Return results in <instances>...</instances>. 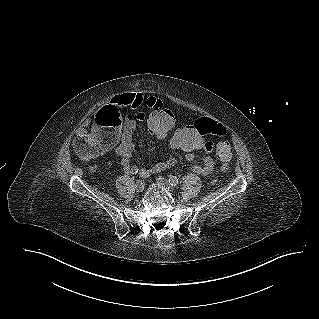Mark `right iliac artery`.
<instances>
[{
	"instance_id": "82829eb1",
	"label": "right iliac artery",
	"mask_w": 319,
	"mask_h": 319,
	"mask_svg": "<svg viewBox=\"0 0 319 319\" xmlns=\"http://www.w3.org/2000/svg\"><path fill=\"white\" fill-rule=\"evenodd\" d=\"M138 171H139L138 167L135 166V167L132 168L131 173L132 174H136V173H138ZM140 174H141L140 176H142V177L146 176L143 172H140Z\"/></svg>"
}]
</instances>
